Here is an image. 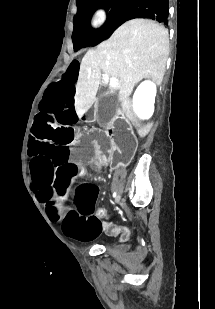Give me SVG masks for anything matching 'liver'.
Segmentation results:
<instances>
[{"label": "liver", "mask_w": 215, "mask_h": 309, "mask_svg": "<svg viewBox=\"0 0 215 309\" xmlns=\"http://www.w3.org/2000/svg\"><path fill=\"white\" fill-rule=\"evenodd\" d=\"M169 52L168 30L155 20L133 18L121 24L108 40L87 50L80 64L76 84L75 110L83 116L96 100L102 72L118 78L119 100L127 122L131 120L139 136L149 132L152 122L140 124L129 98L135 84L142 78H152L161 84Z\"/></svg>", "instance_id": "obj_1"}]
</instances>
